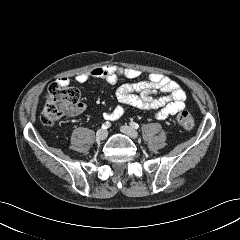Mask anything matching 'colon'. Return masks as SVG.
<instances>
[{
  "label": "colon",
  "instance_id": "colon-1",
  "mask_svg": "<svg viewBox=\"0 0 240 240\" xmlns=\"http://www.w3.org/2000/svg\"><path fill=\"white\" fill-rule=\"evenodd\" d=\"M79 105L80 93L76 88L54 83L46 94L42 121L47 125H54L63 116L77 111ZM177 122L185 130H191L194 127V119L187 111L178 113Z\"/></svg>",
  "mask_w": 240,
  "mask_h": 240
}]
</instances>
